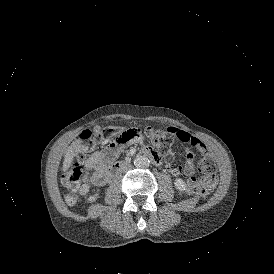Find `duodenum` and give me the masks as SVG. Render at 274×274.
<instances>
[{
  "label": "duodenum",
  "instance_id": "1",
  "mask_svg": "<svg viewBox=\"0 0 274 274\" xmlns=\"http://www.w3.org/2000/svg\"><path fill=\"white\" fill-rule=\"evenodd\" d=\"M140 154L144 155V156H147L149 157L154 163L156 164H159L160 163V157L159 155L151 148L149 147H146V148H143L141 151H140ZM125 164H127V161H117V162H114L112 165H111V172H116L118 171L120 168H122Z\"/></svg>",
  "mask_w": 274,
  "mask_h": 274
}]
</instances>
